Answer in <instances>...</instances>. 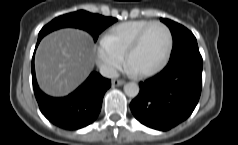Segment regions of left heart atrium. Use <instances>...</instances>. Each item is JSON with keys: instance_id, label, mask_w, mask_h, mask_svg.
Returning a JSON list of instances; mask_svg holds the SVG:
<instances>
[{"instance_id": "1", "label": "left heart atrium", "mask_w": 238, "mask_h": 145, "mask_svg": "<svg viewBox=\"0 0 238 145\" xmlns=\"http://www.w3.org/2000/svg\"><path fill=\"white\" fill-rule=\"evenodd\" d=\"M127 69H128V71L131 72V73H135V72H136V71H135L131 66H129V65H127Z\"/></svg>"}]
</instances>
